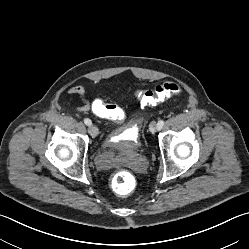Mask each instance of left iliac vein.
Returning <instances> with one entry per match:
<instances>
[{
  "label": "left iliac vein",
  "instance_id": "1",
  "mask_svg": "<svg viewBox=\"0 0 249 249\" xmlns=\"http://www.w3.org/2000/svg\"><path fill=\"white\" fill-rule=\"evenodd\" d=\"M149 130L151 133H155L157 130V125L155 122H151L150 126H149Z\"/></svg>",
  "mask_w": 249,
  "mask_h": 249
}]
</instances>
